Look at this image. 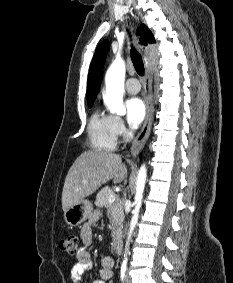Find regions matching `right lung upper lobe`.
Wrapping results in <instances>:
<instances>
[{
  "instance_id": "obj_1",
  "label": "right lung upper lobe",
  "mask_w": 233,
  "mask_h": 283,
  "mask_svg": "<svg viewBox=\"0 0 233 283\" xmlns=\"http://www.w3.org/2000/svg\"><path fill=\"white\" fill-rule=\"evenodd\" d=\"M137 34L140 36V43L143 45L154 44L156 42L152 32L144 24L139 27V29L137 30ZM108 45V41H103L98 45L95 51L88 76V105L93 104L96 94L100 88L102 80V70L108 51Z\"/></svg>"
}]
</instances>
